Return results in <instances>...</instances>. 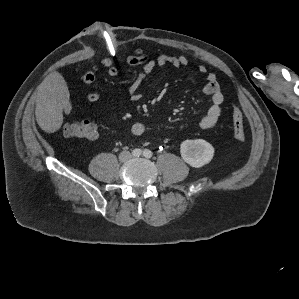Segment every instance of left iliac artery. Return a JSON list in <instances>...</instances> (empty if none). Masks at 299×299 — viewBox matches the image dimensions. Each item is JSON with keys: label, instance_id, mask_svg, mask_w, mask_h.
Wrapping results in <instances>:
<instances>
[{"label": "left iliac artery", "instance_id": "left-iliac-artery-1", "mask_svg": "<svg viewBox=\"0 0 299 299\" xmlns=\"http://www.w3.org/2000/svg\"><path fill=\"white\" fill-rule=\"evenodd\" d=\"M143 155L146 158H151L152 157V152L150 150L146 149V150H144Z\"/></svg>", "mask_w": 299, "mask_h": 299}]
</instances>
